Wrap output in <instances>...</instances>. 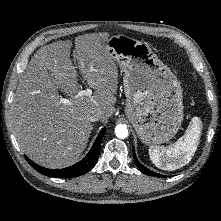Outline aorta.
I'll use <instances>...</instances> for the list:
<instances>
[{
    "mask_svg": "<svg viewBox=\"0 0 221 221\" xmlns=\"http://www.w3.org/2000/svg\"><path fill=\"white\" fill-rule=\"evenodd\" d=\"M115 134L120 139H125L128 137V128L124 124H118L115 127Z\"/></svg>",
    "mask_w": 221,
    "mask_h": 221,
    "instance_id": "1",
    "label": "aorta"
}]
</instances>
